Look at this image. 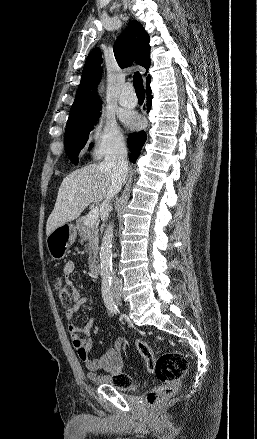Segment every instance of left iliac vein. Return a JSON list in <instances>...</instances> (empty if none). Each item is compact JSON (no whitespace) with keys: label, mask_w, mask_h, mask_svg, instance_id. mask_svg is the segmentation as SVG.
I'll list each match as a JSON object with an SVG mask.
<instances>
[{"label":"left iliac vein","mask_w":257,"mask_h":439,"mask_svg":"<svg viewBox=\"0 0 257 439\" xmlns=\"http://www.w3.org/2000/svg\"><path fill=\"white\" fill-rule=\"evenodd\" d=\"M115 299H116V301H117L119 304L122 303V299H121L120 297H117V296L115 295Z\"/></svg>","instance_id":"4c4485c4"}]
</instances>
